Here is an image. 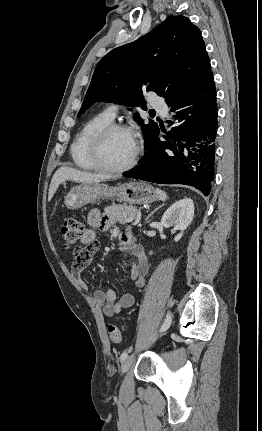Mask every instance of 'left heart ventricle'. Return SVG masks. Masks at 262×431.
I'll list each match as a JSON object with an SVG mask.
<instances>
[{
  "label": "left heart ventricle",
  "mask_w": 262,
  "mask_h": 431,
  "mask_svg": "<svg viewBox=\"0 0 262 431\" xmlns=\"http://www.w3.org/2000/svg\"><path fill=\"white\" fill-rule=\"evenodd\" d=\"M135 147L136 142L133 135L126 132H115L104 143V160L112 167H120L131 159Z\"/></svg>",
  "instance_id": "left-heart-ventricle-1"
}]
</instances>
